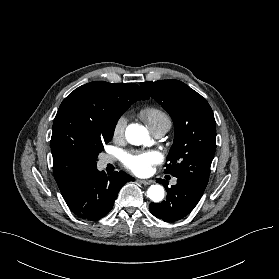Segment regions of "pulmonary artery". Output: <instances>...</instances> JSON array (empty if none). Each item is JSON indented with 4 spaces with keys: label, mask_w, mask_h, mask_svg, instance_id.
<instances>
[{
    "label": "pulmonary artery",
    "mask_w": 279,
    "mask_h": 279,
    "mask_svg": "<svg viewBox=\"0 0 279 279\" xmlns=\"http://www.w3.org/2000/svg\"><path fill=\"white\" fill-rule=\"evenodd\" d=\"M169 129H170V126L169 125H165V126H162V127L158 128V129L154 130L153 134L156 137L160 138V137L164 136L168 132ZM111 162H112V158L109 157V156H104L102 158V160H101V164L102 165H107L108 163H111ZM172 184H176V179L172 180Z\"/></svg>",
    "instance_id": "1"
}]
</instances>
